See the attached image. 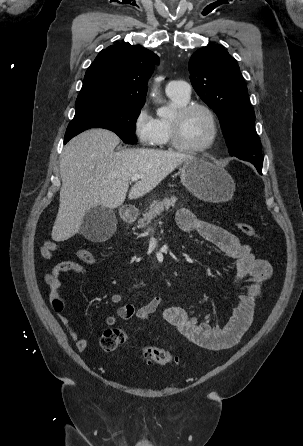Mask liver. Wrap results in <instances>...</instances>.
<instances>
[{
    "label": "liver",
    "instance_id": "1",
    "mask_svg": "<svg viewBox=\"0 0 303 446\" xmlns=\"http://www.w3.org/2000/svg\"><path fill=\"white\" fill-rule=\"evenodd\" d=\"M119 137L105 129L76 136L64 148L60 161L62 187L52 239L65 241L80 230L86 213L94 207L113 209L125 201L133 175H142L128 198L137 199L153 190L191 155L154 149L115 152Z\"/></svg>",
    "mask_w": 303,
    "mask_h": 446
}]
</instances>
